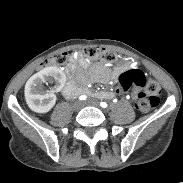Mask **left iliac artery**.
Segmentation results:
<instances>
[{
	"label": "left iliac artery",
	"instance_id": "44dca946",
	"mask_svg": "<svg viewBox=\"0 0 183 183\" xmlns=\"http://www.w3.org/2000/svg\"><path fill=\"white\" fill-rule=\"evenodd\" d=\"M100 106L103 107V108H106L108 105H107L106 102H101V103H100Z\"/></svg>",
	"mask_w": 183,
	"mask_h": 183
}]
</instances>
